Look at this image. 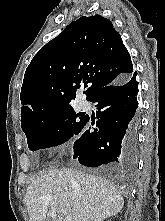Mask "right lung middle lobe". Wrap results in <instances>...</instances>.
Segmentation results:
<instances>
[{
  "mask_svg": "<svg viewBox=\"0 0 165 221\" xmlns=\"http://www.w3.org/2000/svg\"><path fill=\"white\" fill-rule=\"evenodd\" d=\"M86 120L87 116L76 113L70 105L37 115L21 126L29 149L36 151L66 142L79 132Z\"/></svg>",
  "mask_w": 165,
  "mask_h": 221,
  "instance_id": "obj_1",
  "label": "right lung middle lobe"
}]
</instances>
